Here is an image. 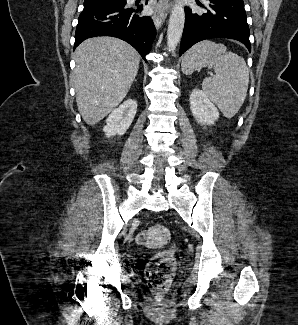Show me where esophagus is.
Returning a JSON list of instances; mask_svg holds the SVG:
<instances>
[{
    "mask_svg": "<svg viewBox=\"0 0 298 325\" xmlns=\"http://www.w3.org/2000/svg\"><path fill=\"white\" fill-rule=\"evenodd\" d=\"M167 2L168 0H158L157 8L154 10L152 14V20L157 30L161 28L167 16V11H166Z\"/></svg>",
    "mask_w": 298,
    "mask_h": 325,
    "instance_id": "1",
    "label": "esophagus"
}]
</instances>
